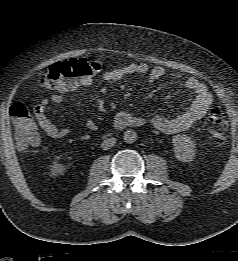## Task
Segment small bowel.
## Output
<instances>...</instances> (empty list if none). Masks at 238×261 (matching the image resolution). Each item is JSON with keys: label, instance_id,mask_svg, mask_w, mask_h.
I'll list each match as a JSON object with an SVG mask.
<instances>
[{"label": "small bowel", "instance_id": "small-bowel-1", "mask_svg": "<svg viewBox=\"0 0 238 261\" xmlns=\"http://www.w3.org/2000/svg\"><path fill=\"white\" fill-rule=\"evenodd\" d=\"M146 75L148 84L162 80L166 76V71L161 66L150 67L145 63H130L123 67H118L103 72L102 77L105 85L101 91L107 92L109 85L124 81L134 75ZM173 79L182 80L185 87L193 93V99L187 105L185 110L175 117H164L154 115L148 118L137 117L128 111L119 112L114 118V125L118 129H124L131 126L149 125L163 133L175 134L191 128L197 121L202 119L212 105L213 97L207 86L189 76L183 78L180 75H171ZM92 84V77L83 78L67 90H73L77 87H88ZM66 91H56L50 97L43 98L34 108V115L41 130L52 139L66 137L70 130L67 127H57L46 115V109L50 103L59 104L63 101V93ZM86 129L90 131L97 130V124L93 120H87L84 123Z\"/></svg>", "mask_w": 238, "mask_h": 261}]
</instances>
